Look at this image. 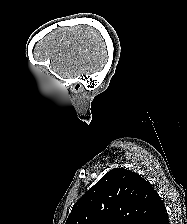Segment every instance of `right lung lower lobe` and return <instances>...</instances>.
<instances>
[{"label": "right lung lower lobe", "mask_w": 187, "mask_h": 224, "mask_svg": "<svg viewBox=\"0 0 187 224\" xmlns=\"http://www.w3.org/2000/svg\"><path fill=\"white\" fill-rule=\"evenodd\" d=\"M160 224H169L168 215L160 222Z\"/></svg>", "instance_id": "98d812e1"}]
</instances>
